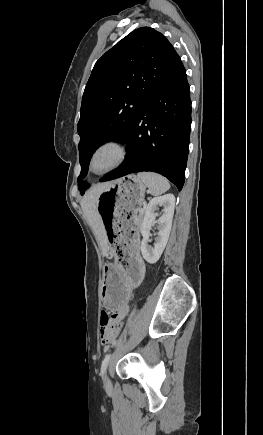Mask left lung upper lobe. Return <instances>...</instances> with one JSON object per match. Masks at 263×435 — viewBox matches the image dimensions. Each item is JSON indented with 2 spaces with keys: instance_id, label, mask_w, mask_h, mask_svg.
Wrapping results in <instances>:
<instances>
[{
  "instance_id": "5c2ea615",
  "label": "left lung upper lobe",
  "mask_w": 263,
  "mask_h": 435,
  "mask_svg": "<svg viewBox=\"0 0 263 435\" xmlns=\"http://www.w3.org/2000/svg\"><path fill=\"white\" fill-rule=\"evenodd\" d=\"M180 62L172 44L150 27L134 30L96 62L78 122L82 195L90 186L82 178L96 148L108 140L125 142L148 99Z\"/></svg>"
}]
</instances>
